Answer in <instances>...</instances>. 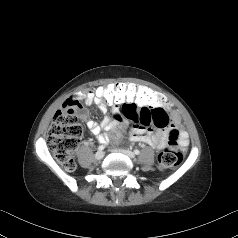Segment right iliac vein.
<instances>
[{
  "label": "right iliac vein",
  "instance_id": "1",
  "mask_svg": "<svg viewBox=\"0 0 238 238\" xmlns=\"http://www.w3.org/2000/svg\"><path fill=\"white\" fill-rule=\"evenodd\" d=\"M104 157V152L103 151H98L95 154V159L96 160H101Z\"/></svg>",
  "mask_w": 238,
  "mask_h": 238
}]
</instances>
